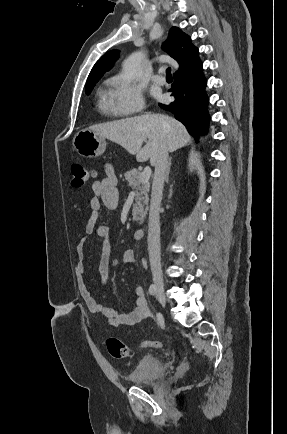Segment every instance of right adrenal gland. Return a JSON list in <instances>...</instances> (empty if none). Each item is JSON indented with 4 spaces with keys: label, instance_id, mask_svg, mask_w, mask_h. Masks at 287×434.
<instances>
[{
    "label": "right adrenal gland",
    "instance_id": "1",
    "mask_svg": "<svg viewBox=\"0 0 287 434\" xmlns=\"http://www.w3.org/2000/svg\"><path fill=\"white\" fill-rule=\"evenodd\" d=\"M170 168H171V157L169 158V161H168V167H167V171H166V182H168Z\"/></svg>",
    "mask_w": 287,
    "mask_h": 434
}]
</instances>
